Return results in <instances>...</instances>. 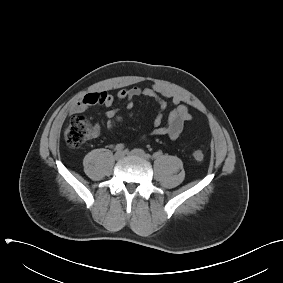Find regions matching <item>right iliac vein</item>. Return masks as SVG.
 Listing matches in <instances>:
<instances>
[{
  "instance_id": "right-iliac-vein-1",
  "label": "right iliac vein",
  "mask_w": 283,
  "mask_h": 283,
  "mask_svg": "<svg viewBox=\"0 0 283 283\" xmlns=\"http://www.w3.org/2000/svg\"><path fill=\"white\" fill-rule=\"evenodd\" d=\"M123 157H124V152H122V151H117L114 155V158L116 160H121Z\"/></svg>"
}]
</instances>
